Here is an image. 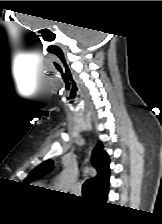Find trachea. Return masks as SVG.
I'll list each match as a JSON object with an SVG mask.
<instances>
[{"mask_svg": "<svg viewBox=\"0 0 162 224\" xmlns=\"http://www.w3.org/2000/svg\"><path fill=\"white\" fill-rule=\"evenodd\" d=\"M89 186H90L89 181L84 182L83 187H82V193L83 194H87L88 193Z\"/></svg>", "mask_w": 162, "mask_h": 224, "instance_id": "3493384b", "label": "trachea"}]
</instances>
